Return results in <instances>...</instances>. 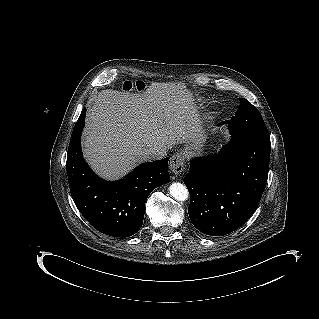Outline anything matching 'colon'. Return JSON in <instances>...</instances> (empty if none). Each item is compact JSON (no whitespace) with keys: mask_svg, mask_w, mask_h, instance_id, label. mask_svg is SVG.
I'll return each mask as SVG.
<instances>
[{"mask_svg":"<svg viewBox=\"0 0 319 319\" xmlns=\"http://www.w3.org/2000/svg\"><path fill=\"white\" fill-rule=\"evenodd\" d=\"M124 91H143L145 89V83L142 81L130 82L127 81L123 84Z\"/></svg>","mask_w":319,"mask_h":319,"instance_id":"1","label":"colon"}]
</instances>
